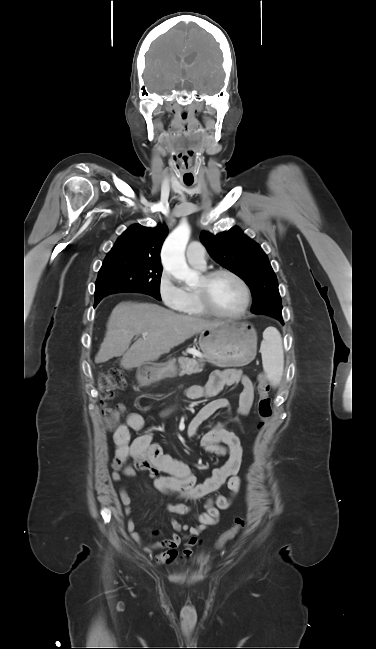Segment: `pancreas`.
<instances>
[{
    "instance_id": "obj_1",
    "label": "pancreas",
    "mask_w": 376,
    "mask_h": 649,
    "mask_svg": "<svg viewBox=\"0 0 376 649\" xmlns=\"http://www.w3.org/2000/svg\"><path fill=\"white\" fill-rule=\"evenodd\" d=\"M204 364L202 362H198L193 359L189 358H182L180 361V368L181 371L179 373L180 376H183L185 374L187 375H192L195 373L202 372Z\"/></svg>"
}]
</instances>
